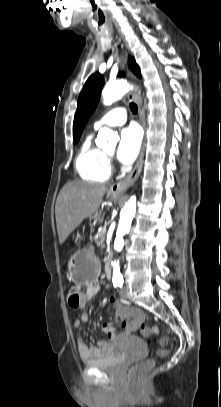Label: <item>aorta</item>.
Returning <instances> with one entry per match:
<instances>
[{"mask_svg": "<svg viewBox=\"0 0 221 407\" xmlns=\"http://www.w3.org/2000/svg\"><path fill=\"white\" fill-rule=\"evenodd\" d=\"M132 87L126 81H117L112 84H107L103 91V103L111 105L113 102L122 98V96ZM112 136V132L108 128H101L97 136V144L106 143L107 139ZM136 213V197L131 196L124 208L120 212V220L114 241V250L120 252L124 247V235L130 231L132 220ZM122 279L120 272L119 260L113 263V281Z\"/></svg>", "mask_w": 221, "mask_h": 407, "instance_id": "1", "label": "aorta"}]
</instances>
